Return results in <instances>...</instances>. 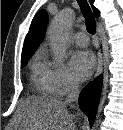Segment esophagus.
<instances>
[{
  "instance_id": "1",
  "label": "esophagus",
  "mask_w": 123,
  "mask_h": 130,
  "mask_svg": "<svg viewBox=\"0 0 123 130\" xmlns=\"http://www.w3.org/2000/svg\"><path fill=\"white\" fill-rule=\"evenodd\" d=\"M102 69H103V59L101 54H99L96 76L101 74Z\"/></svg>"
}]
</instances>
